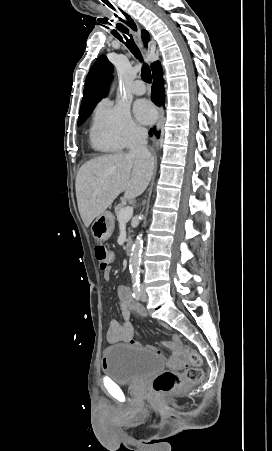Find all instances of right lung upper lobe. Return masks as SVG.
Returning a JSON list of instances; mask_svg holds the SVG:
<instances>
[{"label":"right lung upper lobe","mask_w":272,"mask_h":451,"mask_svg":"<svg viewBox=\"0 0 272 451\" xmlns=\"http://www.w3.org/2000/svg\"><path fill=\"white\" fill-rule=\"evenodd\" d=\"M146 44L149 40L147 31H142ZM158 63L151 64V69ZM113 66L105 55H101L91 67L85 82L83 99L80 109L94 108V106L108 94V82L112 78Z\"/></svg>","instance_id":"cb5924a9"}]
</instances>
